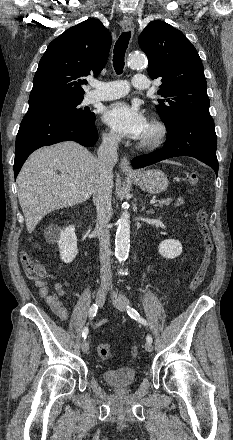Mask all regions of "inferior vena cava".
Segmentation results:
<instances>
[{
    "mask_svg": "<svg viewBox=\"0 0 233 440\" xmlns=\"http://www.w3.org/2000/svg\"><path fill=\"white\" fill-rule=\"evenodd\" d=\"M120 137L115 134H105L98 149L97 167L98 179L94 188L93 202L97 210L95 232L98 235L100 246L101 283L110 285L112 276L110 274V234L109 221L112 217V170L118 161L117 148Z\"/></svg>",
    "mask_w": 233,
    "mask_h": 440,
    "instance_id": "602c4592",
    "label": "inferior vena cava"
}]
</instances>
